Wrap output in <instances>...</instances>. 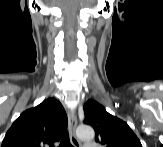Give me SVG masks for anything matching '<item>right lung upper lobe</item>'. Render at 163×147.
I'll return each mask as SVG.
<instances>
[{
  "label": "right lung upper lobe",
  "instance_id": "right-lung-upper-lobe-1",
  "mask_svg": "<svg viewBox=\"0 0 163 147\" xmlns=\"http://www.w3.org/2000/svg\"><path fill=\"white\" fill-rule=\"evenodd\" d=\"M67 126V115L57 100L49 98L24 111L7 131L2 147H53Z\"/></svg>",
  "mask_w": 163,
  "mask_h": 147
}]
</instances>
